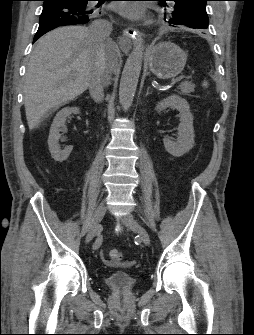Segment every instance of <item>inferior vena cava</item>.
I'll return each mask as SVG.
<instances>
[{
    "label": "inferior vena cava",
    "mask_w": 254,
    "mask_h": 335,
    "mask_svg": "<svg viewBox=\"0 0 254 335\" xmlns=\"http://www.w3.org/2000/svg\"><path fill=\"white\" fill-rule=\"evenodd\" d=\"M111 32L112 24L106 20H96L89 28L90 37L97 44H102L104 41L109 40ZM110 78L111 75L106 69L104 60L98 57L90 73L88 83L90 95L95 102L99 103L103 100L104 87L109 85Z\"/></svg>",
    "instance_id": "inferior-vena-cava-1"
}]
</instances>
